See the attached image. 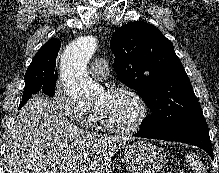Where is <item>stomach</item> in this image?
<instances>
[{
    "label": "stomach",
    "mask_w": 219,
    "mask_h": 173,
    "mask_svg": "<svg viewBox=\"0 0 219 173\" xmlns=\"http://www.w3.org/2000/svg\"><path fill=\"white\" fill-rule=\"evenodd\" d=\"M124 161L132 173H157L164 164V155L147 141H136L124 151Z\"/></svg>",
    "instance_id": "0dacf381"
}]
</instances>
